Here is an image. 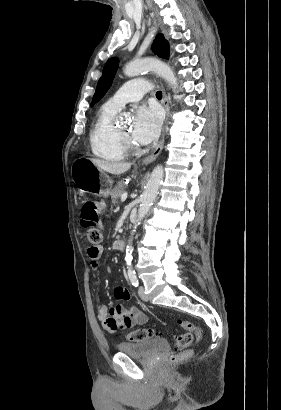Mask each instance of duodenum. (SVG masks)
Listing matches in <instances>:
<instances>
[{"instance_id":"410a0bca","label":"duodenum","mask_w":281,"mask_h":410,"mask_svg":"<svg viewBox=\"0 0 281 410\" xmlns=\"http://www.w3.org/2000/svg\"><path fill=\"white\" fill-rule=\"evenodd\" d=\"M114 247L118 250H123L125 247V240L122 238L117 239L114 243Z\"/></svg>"}]
</instances>
